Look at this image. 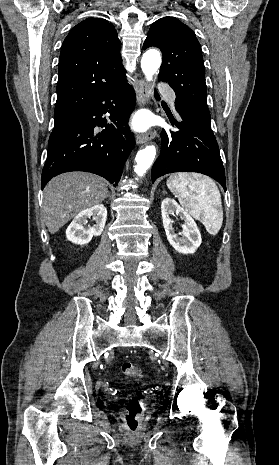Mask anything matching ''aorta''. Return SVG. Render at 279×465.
Listing matches in <instances>:
<instances>
[{
    "label": "aorta",
    "instance_id": "obj_1",
    "mask_svg": "<svg viewBox=\"0 0 279 465\" xmlns=\"http://www.w3.org/2000/svg\"><path fill=\"white\" fill-rule=\"evenodd\" d=\"M161 65L160 53L156 50H149L143 54L141 59V68L147 81H151L154 74L157 73ZM156 156V147L147 145L138 151L136 155V165L134 171L138 176H143L152 165Z\"/></svg>",
    "mask_w": 279,
    "mask_h": 465
}]
</instances>
